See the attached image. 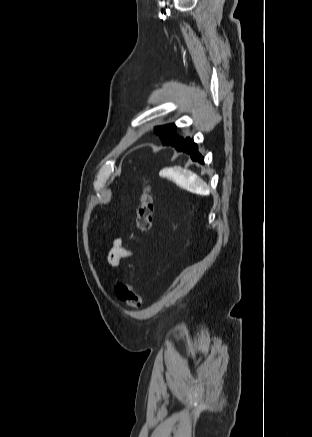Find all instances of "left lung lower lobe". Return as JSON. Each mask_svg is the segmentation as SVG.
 <instances>
[{
    "mask_svg": "<svg viewBox=\"0 0 312 437\" xmlns=\"http://www.w3.org/2000/svg\"><path fill=\"white\" fill-rule=\"evenodd\" d=\"M163 145H171L176 148L179 152H185L190 154L193 161H198L199 163H204L203 156L198 153L197 145L194 143L193 139L190 137L182 138L180 140L170 141L169 143H164Z\"/></svg>",
    "mask_w": 312,
    "mask_h": 437,
    "instance_id": "0a47b994",
    "label": "left lung lower lobe"
}]
</instances>
